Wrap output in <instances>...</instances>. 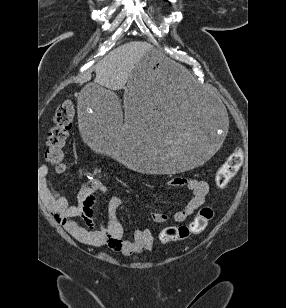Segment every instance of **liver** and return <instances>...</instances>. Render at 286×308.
Masks as SVG:
<instances>
[{
    "label": "liver",
    "mask_w": 286,
    "mask_h": 308,
    "mask_svg": "<svg viewBox=\"0 0 286 308\" xmlns=\"http://www.w3.org/2000/svg\"><path fill=\"white\" fill-rule=\"evenodd\" d=\"M154 51L151 44L142 41L125 43L108 53L95 66V83L110 90L124 88L135 65L148 52ZM91 80V73L84 74L80 82Z\"/></svg>",
    "instance_id": "1"
}]
</instances>
